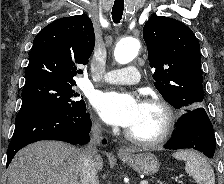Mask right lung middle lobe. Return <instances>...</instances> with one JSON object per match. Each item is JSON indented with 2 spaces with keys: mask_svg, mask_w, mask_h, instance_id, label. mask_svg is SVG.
I'll use <instances>...</instances> for the list:
<instances>
[{
  "mask_svg": "<svg viewBox=\"0 0 224 184\" xmlns=\"http://www.w3.org/2000/svg\"><path fill=\"white\" fill-rule=\"evenodd\" d=\"M76 83L34 81L25 84L22 90V105L15 124L41 113L58 112L74 115L86 109L84 100L74 90Z\"/></svg>",
  "mask_w": 224,
  "mask_h": 184,
  "instance_id": "right-lung-middle-lobe-1",
  "label": "right lung middle lobe"
}]
</instances>
